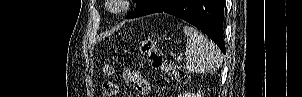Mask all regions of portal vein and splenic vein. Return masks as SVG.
Returning <instances> with one entry per match:
<instances>
[{
	"label": "portal vein and splenic vein",
	"instance_id": "18ae733b",
	"mask_svg": "<svg viewBox=\"0 0 302 97\" xmlns=\"http://www.w3.org/2000/svg\"><path fill=\"white\" fill-rule=\"evenodd\" d=\"M182 61V57H177V62H181Z\"/></svg>",
	"mask_w": 302,
	"mask_h": 97
}]
</instances>
